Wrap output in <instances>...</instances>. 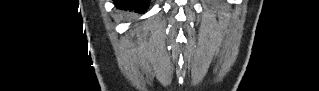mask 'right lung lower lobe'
I'll list each match as a JSON object with an SVG mask.
<instances>
[{
  "mask_svg": "<svg viewBox=\"0 0 319 91\" xmlns=\"http://www.w3.org/2000/svg\"><path fill=\"white\" fill-rule=\"evenodd\" d=\"M150 0H114L116 6L127 8H135L136 10H146Z\"/></svg>",
  "mask_w": 319,
  "mask_h": 91,
  "instance_id": "1",
  "label": "right lung lower lobe"
}]
</instances>
